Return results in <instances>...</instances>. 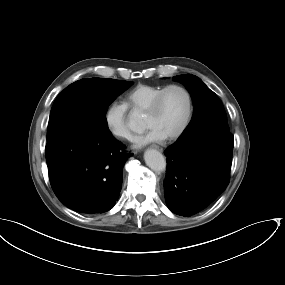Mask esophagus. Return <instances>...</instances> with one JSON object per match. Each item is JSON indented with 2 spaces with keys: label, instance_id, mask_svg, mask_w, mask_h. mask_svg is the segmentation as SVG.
<instances>
[{
  "label": "esophagus",
  "instance_id": "34e87169",
  "mask_svg": "<svg viewBox=\"0 0 285 285\" xmlns=\"http://www.w3.org/2000/svg\"><path fill=\"white\" fill-rule=\"evenodd\" d=\"M153 148H155V149H157V150H159V151H163V148H161V147H159L158 145H153Z\"/></svg>",
  "mask_w": 285,
  "mask_h": 285
}]
</instances>
